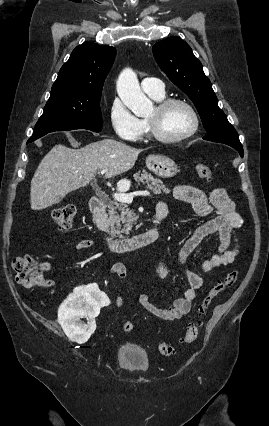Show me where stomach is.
<instances>
[{"mask_svg": "<svg viewBox=\"0 0 269 426\" xmlns=\"http://www.w3.org/2000/svg\"><path fill=\"white\" fill-rule=\"evenodd\" d=\"M147 168L162 178H171L178 173L175 162L166 156L150 155L146 159Z\"/></svg>", "mask_w": 269, "mask_h": 426, "instance_id": "obj_1", "label": "stomach"}]
</instances>
